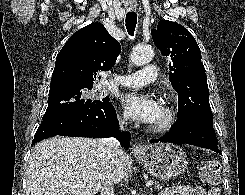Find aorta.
Segmentation results:
<instances>
[{"mask_svg": "<svg viewBox=\"0 0 245 195\" xmlns=\"http://www.w3.org/2000/svg\"><path fill=\"white\" fill-rule=\"evenodd\" d=\"M154 56V50L151 46H136L130 56V62L136 66H142L149 63Z\"/></svg>", "mask_w": 245, "mask_h": 195, "instance_id": "aorta-1", "label": "aorta"}]
</instances>
